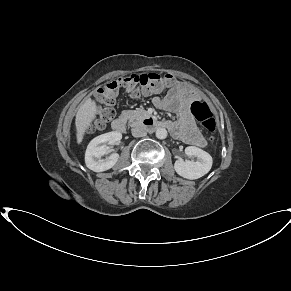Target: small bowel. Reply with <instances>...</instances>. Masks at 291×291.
Masks as SVG:
<instances>
[{
  "label": "small bowel",
  "mask_w": 291,
  "mask_h": 291,
  "mask_svg": "<svg viewBox=\"0 0 291 291\" xmlns=\"http://www.w3.org/2000/svg\"><path fill=\"white\" fill-rule=\"evenodd\" d=\"M199 98V93L190 83L175 81L165 96L153 99V104L160 110L179 112L177 121L166 122L167 128L175 138L189 145L205 147L207 142L189 110L190 104Z\"/></svg>",
  "instance_id": "small-bowel-1"
}]
</instances>
